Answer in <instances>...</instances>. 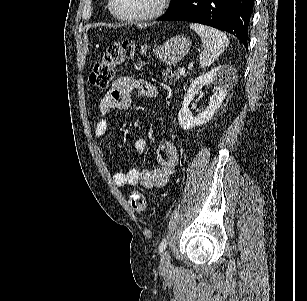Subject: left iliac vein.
<instances>
[{
  "mask_svg": "<svg viewBox=\"0 0 307 301\" xmlns=\"http://www.w3.org/2000/svg\"><path fill=\"white\" fill-rule=\"evenodd\" d=\"M160 265L165 270L171 267L170 254L168 251L162 253Z\"/></svg>",
  "mask_w": 307,
  "mask_h": 301,
  "instance_id": "1",
  "label": "left iliac vein"
}]
</instances>
